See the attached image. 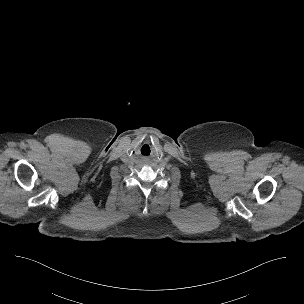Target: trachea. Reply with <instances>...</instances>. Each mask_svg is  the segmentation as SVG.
Returning <instances> with one entry per match:
<instances>
[{
	"label": "trachea",
	"instance_id": "3493384b",
	"mask_svg": "<svg viewBox=\"0 0 304 304\" xmlns=\"http://www.w3.org/2000/svg\"><path fill=\"white\" fill-rule=\"evenodd\" d=\"M140 152L143 156H150L152 154V147L150 145H143Z\"/></svg>",
	"mask_w": 304,
	"mask_h": 304
}]
</instances>
